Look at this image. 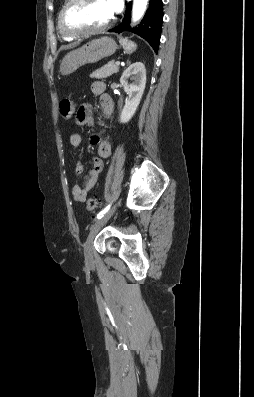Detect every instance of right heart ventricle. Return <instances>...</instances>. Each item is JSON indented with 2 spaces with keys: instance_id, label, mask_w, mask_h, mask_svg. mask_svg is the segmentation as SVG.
Here are the masks:
<instances>
[{
  "instance_id": "right-heart-ventricle-1",
  "label": "right heart ventricle",
  "mask_w": 254,
  "mask_h": 397,
  "mask_svg": "<svg viewBox=\"0 0 254 397\" xmlns=\"http://www.w3.org/2000/svg\"><path fill=\"white\" fill-rule=\"evenodd\" d=\"M59 31H60V29H59ZM60 33H61L62 38L66 41H71L74 39V37L67 36V35L63 34L61 31H60Z\"/></svg>"
}]
</instances>
